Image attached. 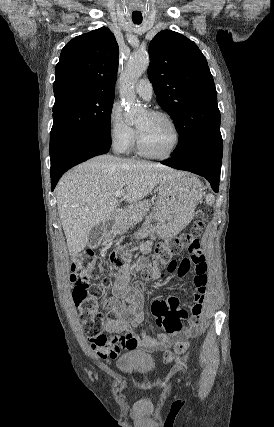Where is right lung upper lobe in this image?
Returning a JSON list of instances; mask_svg holds the SVG:
<instances>
[{
    "mask_svg": "<svg viewBox=\"0 0 274 427\" xmlns=\"http://www.w3.org/2000/svg\"><path fill=\"white\" fill-rule=\"evenodd\" d=\"M119 47L107 28L72 39L55 68V103L68 96L114 95Z\"/></svg>",
    "mask_w": 274,
    "mask_h": 427,
    "instance_id": "right-lung-upper-lobe-1",
    "label": "right lung upper lobe"
}]
</instances>
